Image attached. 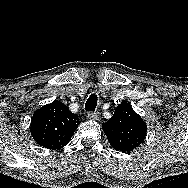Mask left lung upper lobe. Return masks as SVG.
Returning <instances> with one entry per match:
<instances>
[{
    "mask_svg": "<svg viewBox=\"0 0 188 188\" xmlns=\"http://www.w3.org/2000/svg\"><path fill=\"white\" fill-rule=\"evenodd\" d=\"M110 145L122 152H130L145 139L147 126L127 102L119 104L114 115L102 125Z\"/></svg>",
    "mask_w": 188,
    "mask_h": 188,
    "instance_id": "5c2ea615",
    "label": "left lung upper lobe"
}]
</instances>
